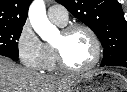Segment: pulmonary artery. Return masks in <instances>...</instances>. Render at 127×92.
Instances as JSON below:
<instances>
[{
	"instance_id": "1",
	"label": "pulmonary artery",
	"mask_w": 127,
	"mask_h": 92,
	"mask_svg": "<svg viewBox=\"0 0 127 92\" xmlns=\"http://www.w3.org/2000/svg\"><path fill=\"white\" fill-rule=\"evenodd\" d=\"M48 16L51 20L66 23L68 21V11L62 5L55 4L48 8Z\"/></svg>"
}]
</instances>
